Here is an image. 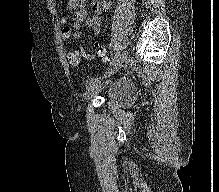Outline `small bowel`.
<instances>
[{
  "label": "small bowel",
  "mask_w": 219,
  "mask_h": 192,
  "mask_svg": "<svg viewBox=\"0 0 219 192\" xmlns=\"http://www.w3.org/2000/svg\"><path fill=\"white\" fill-rule=\"evenodd\" d=\"M86 1L87 0H67L66 2V10L73 14V23L71 28L68 26L64 28V34L69 35L72 29V36L75 40L81 38V29L84 24L91 28L94 35H98L103 21L102 15L108 13L111 9V4L108 0H94V14L89 16L85 8ZM63 23H66V20H63ZM76 53L88 56L81 45L78 46Z\"/></svg>",
  "instance_id": "1"
}]
</instances>
